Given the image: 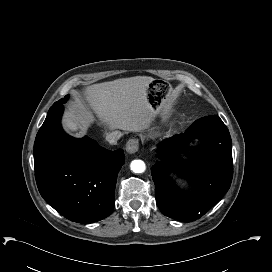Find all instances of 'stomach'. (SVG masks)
<instances>
[{
  "instance_id": "stomach-1",
  "label": "stomach",
  "mask_w": 272,
  "mask_h": 272,
  "mask_svg": "<svg viewBox=\"0 0 272 272\" xmlns=\"http://www.w3.org/2000/svg\"><path fill=\"white\" fill-rule=\"evenodd\" d=\"M147 100L153 110V116H164L170 107L171 85L159 79H153L147 87Z\"/></svg>"
}]
</instances>
